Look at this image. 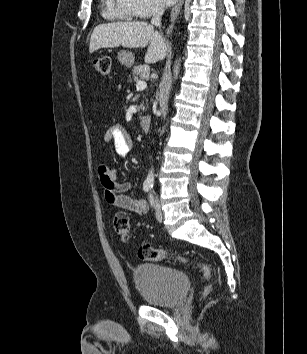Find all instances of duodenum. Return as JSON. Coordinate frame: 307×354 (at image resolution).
<instances>
[{"label":"duodenum","mask_w":307,"mask_h":354,"mask_svg":"<svg viewBox=\"0 0 307 354\" xmlns=\"http://www.w3.org/2000/svg\"><path fill=\"white\" fill-rule=\"evenodd\" d=\"M151 122H152V119L149 115L142 116L140 118V127L145 132H148L151 128Z\"/></svg>","instance_id":"410a0bca"}]
</instances>
